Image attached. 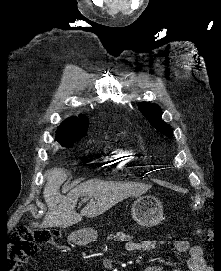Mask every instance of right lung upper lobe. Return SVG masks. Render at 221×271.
Instances as JSON below:
<instances>
[{"label":"right lung upper lobe","mask_w":221,"mask_h":271,"mask_svg":"<svg viewBox=\"0 0 221 271\" xmlns=\"http://www.w3.org/2000/svg\"><path fill=\"white\" fill-rule=\"evenodd\" d=\"M88 130V119L85 115L79 118L66 119L58 128L56 139L58 140H78L82 138Z\"/></svg>","instance_id":"cb5924a9"}]
</instances>
